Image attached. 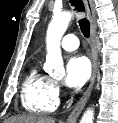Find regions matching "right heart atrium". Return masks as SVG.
Returning a JSON list of instances; mask_svg holds the SVG:
<instances>
[{"mask_svg":"<svg viewBox=\"0 0 118 123\" xmlns=\"http://www.w3.org/2000/svg\"><path fill=\"white\" fill-rule=\"evenodd\" d=\"M54 90L57 95V97L60 95V87L57 83H54Z\"/></svg>","mask_w":118,"mask_h":123,"instance_id":"d8ad5b80","label":"right heart atrium"}]
</instances>
